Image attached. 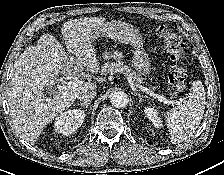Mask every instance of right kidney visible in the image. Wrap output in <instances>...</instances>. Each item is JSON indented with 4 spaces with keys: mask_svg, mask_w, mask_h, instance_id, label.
<instances>
[{
    "mask_svg": "<svg viewBox=\"0 0 224 175\" xmlns=\"http://www.w3.org/2000/svg\"><path fill=\"white\" fill-rule=\"evenodd\" d=\"M84 119L85 113L83 110L73 109L65 111L55 118L54 131L64 136H69L81 126Z\"/></svg>",
    "mask_w": 224,
    "mask_h": 175,
    "instance_id": "1",
    "label": "right kidney"
}]
</instances>
